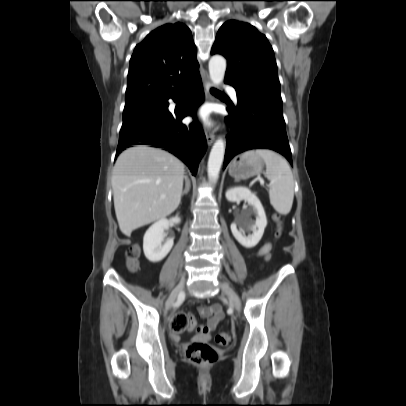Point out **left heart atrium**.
Masks as SVG:
<instances>
[{
  "label": "left heart atrium",
  "mask_w": 406,
  "mask_h": 406,
  "mask_svg": "<svg viewBox=\"0 0 406 406\" xmlns=\"http://www.w3.org/2000/svg\"><path fill=\"white\" fill-rule=\"evenodd\" d=\"M209 113L206 108H201L197 113V118L204 124H209Z\"/></svg>",
  "instance_id": "obj_1"
}]
</instances>
